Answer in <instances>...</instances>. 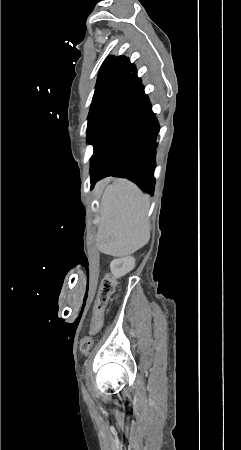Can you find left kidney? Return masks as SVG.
<instances>
[{"instance_id":"1","label":"left kidney","mask_w":241,"mask_h":450,"mask_svg":"<svg viewBox=\"0 0 241 450\" xmlns=\"http://www.w3.org/2000/svg\"><path fill=\"white\" fill-rule=\"evenodd\" d=\"M135 258L133 256H126V258H116L112 260L110 264V270L115 278H121L128 272H131L135 268Z\"/></svg>"}]
</instances>
